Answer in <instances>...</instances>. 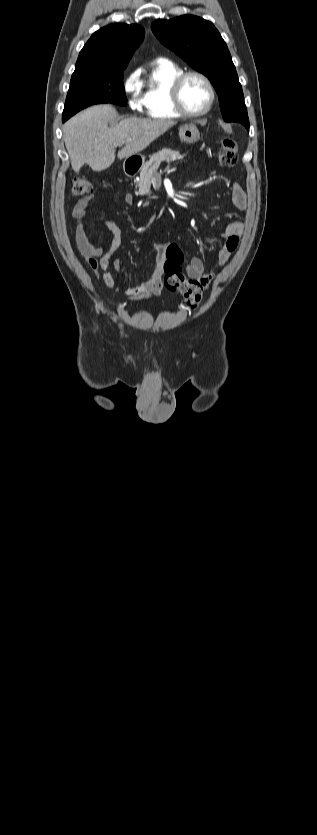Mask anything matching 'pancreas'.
<instances>
[{
	"instance_id": "cf45deb5",
	"label": "pancreas",
	"mask_w": 317,
	"mask_h": 835,
	"mask_svg": "<svg viewBox=\"0 0 317 835\" xmlns=\"http://www.w3.org/2000/svg\"><path fill=\"white\" fill-rule=\"evenodd\" d=\"M184 158L178 151L165 148L158 153L151 156L150 160L146 162L140 171V176L136 180L139 191L135 192L137 195L150 194L151 179L157 174V169L162 162L170 163L175 160Z\"/></svg>"
}]
</instances>
